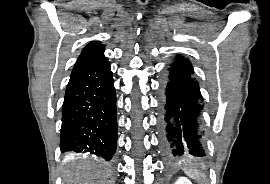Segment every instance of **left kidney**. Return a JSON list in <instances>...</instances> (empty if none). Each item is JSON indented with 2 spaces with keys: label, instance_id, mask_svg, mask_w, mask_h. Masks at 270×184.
Segmentation results:
<instances>
[{
  "label": "left kidney",
  "instance_id": "1",
  "mask_svg": "<svg viewBox=\"0 0 270 184\" xmlns=\"http://www.w3.org/2000/svg\"><path fill=\"white\" fill-rule=\"evenodd\" d=\"M174 184H192L190 180L185 177H180Z\"/></svg>",
  "mask_w": 270,
  "mask_h": 184
}]
</instances>
